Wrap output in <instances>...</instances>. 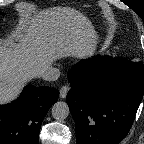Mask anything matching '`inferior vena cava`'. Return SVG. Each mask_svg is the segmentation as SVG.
I'll return each instance as SVG.
<instances>
[{
    "label": "inferior vena cava",
    "mask_w": 144,
    "mask_h": 144,
    "mask_svg": "<svg viewBox=\"0 0 144 144\" xmlns=\"http://www.w3.org/2000/svg\"><path fill=\"white\" fill-rule=\"evenodd\" d=\"M60 76V70L56 67H48L46 68L42 74L41 77L46 81H55Z\"/></svg>",
    "instance_id": "obj_1"
}]
</instances>
